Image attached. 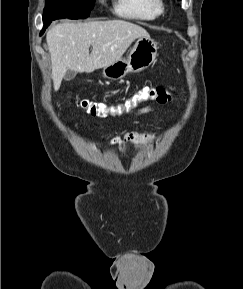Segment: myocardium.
Listing matches in <instances>:
<instances>
[{"label": "myocardium", "instance_id": "f54148a6", "mask_svg": "<svg viewBox=\"0 0 243 289\" xmlns=\"http://www.w3.org/2000/svg\"><path fill=\"white\" fill-rule=\"evenodd\" d=\"M157 1H158V9H159V11L161 13V12L164 11V3H163L162 0H157Z\"/></svg>", "mask_w": 243, "mask_h": 289}]
</instances>
